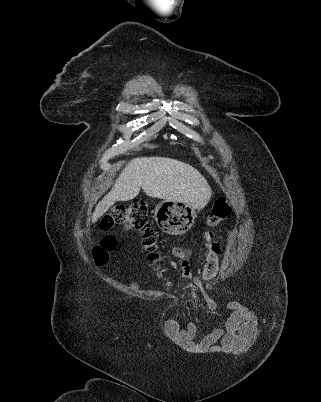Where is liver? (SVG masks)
Listing matches in <instances>:
<instances>
[{
	"label": "liver",
	"instance_id": "liver-1",
	"mask_svg": "<svg viewBox=\"0 0 321 402\" xmlns=\"http://www.w3.org/2000/svg\"><path fill=\"white\" fill-rule=\"evenodd\" d=\"M140 188L147 196L187 203L195 209L207 205L211 188L201 173L184 162L166 157L131 160L92 215L95 223L116 201L134 199Z\"/></svg>",
	"mask_w": 321,
	"mask_h": 402
}]
</instances>
